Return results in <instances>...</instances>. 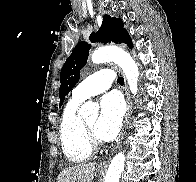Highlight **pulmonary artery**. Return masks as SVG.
Listing matches in <instances>:
<instances>
[{
	"label": "pulmonary artery",
	"instance_id": "e3ab8cb5",
	"mask_svg": "<svg viewBox=\"0 0 196 182\" xmlns=\"http://www.w3.org/2000/svg\"><path fill=\"white\" fill-rule=\"evenodd\" d=\"M114 81V75L108 68H102L79 83L73 90V98L83 101L108 90Z\"/></svg>",
	"mask_w": 196,
	"mask_h": 182
}]
</instances>
